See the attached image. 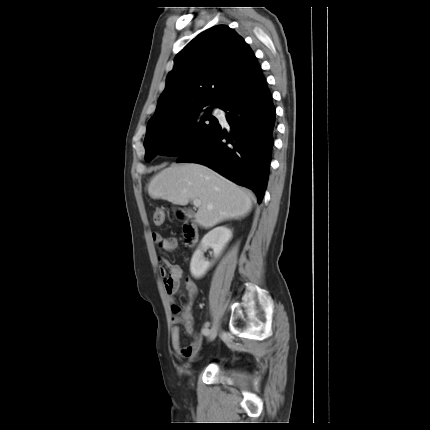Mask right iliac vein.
<instances>
[{"instance_id": "obj_1", "label": "right iliac vein", "mask_w": 430, "mask_h": 430, "mask_svg": "<svg viewBox=\"0 0 430 430\" xmlns=\"http://www.w3.org/2000/svg\"><path fill=\"white\" fill-rule=\"evenodd\" d=\"M217 332H218V326L217 325H214L211 329H210V331H209V333H208V340H214L215 338H216V336H217Z\"/></svg>"}]
</instances>
